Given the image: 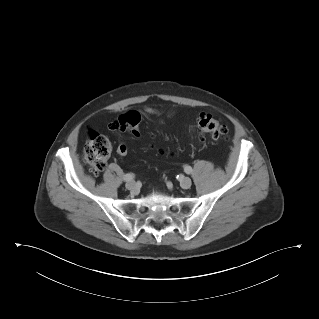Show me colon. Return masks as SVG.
I'll list each match as a JSON object with an SVG mask.
<instances>
[{"label":"colon","mask_w":319,"mask_h":319,"mask_svg":"<svg viewBox=\"0 0 319 319\" xmlns=\"http://www.w3.org/2000/svg\"><path fill=\"white\" fill-rule=\"evenodd\" d=\"M140 123L141 115L137 111H129L118 118L116 128L122 132L139 135ZM196 130L201 136L206 135L215 140L222 139L228 134L226 124L210 114H201L197 118ZM126 147V145H121L120 150H126ZM110 154L111 144L108 138L104 135L91 132L88 135L83 155L93 173L98 174L104 170Z\"/></svg>","instance_id":"colon-1"}]
</instances>
